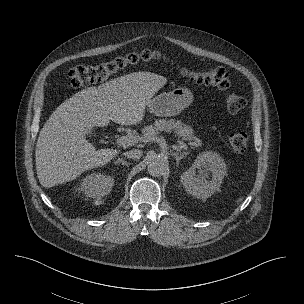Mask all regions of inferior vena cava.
<instances>
[{
  "mask_svg": "<svg viewBox=\"0 0 304 304\" xmlns=\"http://www.w3.org/2000/svg\"><path fill=\"white\" fill-rule=\"evenodd\" d=\"M142 150L133 149L124 153V156L131 159H140L142 156Z\"/></svg>",
  "mask_w": 304,
  "mask_h": 304,
  "instance_id": "obj_1",
  "label": "inferior vena cava"
}]
</instances>
